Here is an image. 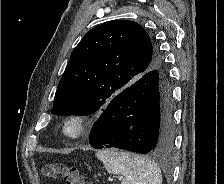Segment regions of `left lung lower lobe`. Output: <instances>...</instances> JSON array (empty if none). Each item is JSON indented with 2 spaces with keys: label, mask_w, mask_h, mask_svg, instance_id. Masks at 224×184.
<instances>
[{
  "label": "left lung lower lobe",
  "mask_w": 224,
  "mask_h": 184,
  "mask_svg": "<svg viewBox=\"0 0 224 184\" xmlns=\"http://www.w3.org/2000/svg\"><path fill=\"white\" fill-rule=\"evenodd\" d=\"M170 84L162 69L147 72L117 94L94 124L93 148L116 147L141 154H162L173 145Z\"/></svg>",
  "instance_id": "obj_1"
}]
</instances>
